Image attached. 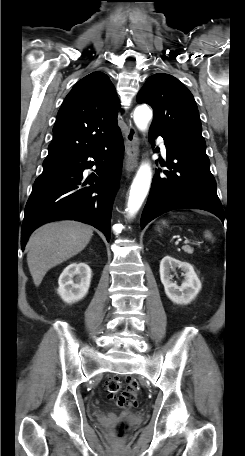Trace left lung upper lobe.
Here are the masks:
<instances>
[{
    "label": "left lung upper lobe",
    "mask_w": 245,
    "mask_h": 456,
    "mask_svg": "<svg viewBox=\"0 0 245 456\" xmlns=\"http://www.w3.org/2000/svg\"><path fill=\"white\" fill-rule=\"evenodd\" d=\"M137 102L153 108L150 131L171 135L205 152L206 143L194 97L174 76L164 73L150 76L140 90Z\"/></svg>",
    "instance_id": "obj_1"
}]
</instances>
